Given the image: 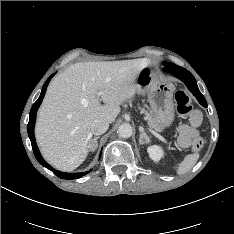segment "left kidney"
<instances>
[{
    "label": "left kidney",
    "mask_w": 234,
    "mask_h": 234,
    "mask_svg": "<svg viewBox=\"0 0 234 234\" xmlns=\"http://www.w3.org/2000/svg\"><path fill=\"white\" fill-rule=\"evenodd\" d=\"M147 152L149 157L155 162H158L164 155L162 148L157 145L149 146Z\"/></svg>",
    "instance_id": "1"
}]
</instances>
